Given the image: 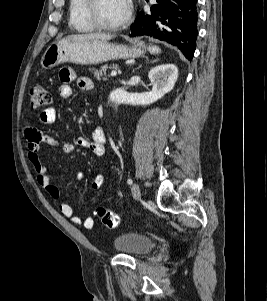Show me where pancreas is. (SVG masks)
I'll use <instances>...</instances> for the list:
<instances>
[{
	"label": "pancreas",
	"instance_id": "pancreas-1",
	"mask_svg": "<svg viewBox=\"0 0 267 301\" xmlns=\"http://www.w3.org/2000/svg\"><path fill=\"white\" fill-rule=\"evenodd\" d=\"M117 65L111 64V65H104L98 69H92L93 75L97 80H100L101 77H103V80H106V71L108 69L116 68Z\"/></svg>",
	"mask_w": 267,
	"mask_h": 301
}]
</instances>
